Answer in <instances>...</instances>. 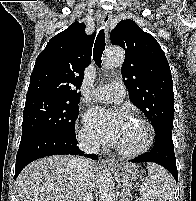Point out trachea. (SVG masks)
Returning a JSON list of instances; mask_svg holds the SVG:
<instances>
[{"mask_svg": "<svg viewBox=\"0 0 196 201\" xmlns=\"http://www.w3.org/2000/svg\"><path fill=\"white\" fill-rule=\"evenodd\" d=\"M104 50H105V36H104V30L101 29L97 35L93 49V59L96 65L98 66L101 65V57Z\"/></svg>", "mask_w": 196, "mask_h": 201, "instance_id": "1", "label": "trachea"}]
</instances>
